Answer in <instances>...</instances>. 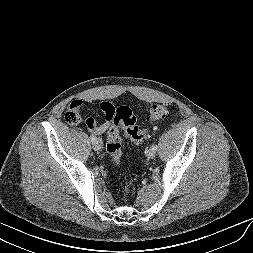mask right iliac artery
Segmentation results:
<instances>
[{
    "instance_id": "1",
    "label": "right iliac artery",
    "mask_w": 253,
    "mask_h": 253,
    "mask_svg": "<svg viewBox=\"0 0 253 253\" xmlns=\"http://www.w3.org/2000/svg\"><path fill=\"white\" fill-rule=\"evenodd\" d=\"M90 139H91V141H94L96 139V137L94 135H91Z\"/></svg>"
}]
</instances>
